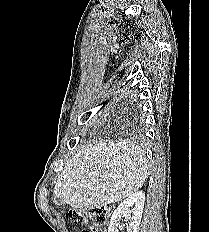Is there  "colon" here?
<instances>
[{
    "instance_id": "5ec220e1",
    "label": "colon",
    "mask_w": 209,
    "mask_h": 232,
    "mask_svg": "<svg viewBox=\"0 0 209 232\" xmlns=\"http://www.w3.org/2000/svg\"><path fill=\"white\" fill-rule=\"evenodd\" d=\"M70 217L83 228L82 232H99L107 222L108 209L95 207L75 210L70 212Z\"/></svg>"
}]
</instances>
